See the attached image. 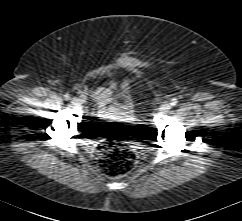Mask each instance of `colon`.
Listing matches in <instances>:
<instances>
[{
	"label": "colon",
	"instance_id": "obj_1",
	"mask_svg": "<svg viewBox=\"0 0 242 221\" xmlns=\"http://www.w3.org/2000/svg\"><path fill=\"white\" fill-rule=\"evenodd\" d=\"M137 155L127 143L110 140L98 145L95 163L99 170L110 177H120L130 172L136 165Z\"/></svg>",
	"mask_w": 242,
	"mask_h": 221
}]
</instances>
